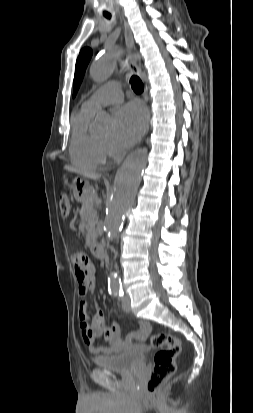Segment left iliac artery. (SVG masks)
Returning a JSON list of instances; mask_svg holds the SVG:
<instances>
[{
    "label": "left iliac artery",
    "mask_w": 253,
    "mask_h": 413,
    "mask_svg": "<svg viewBox=\"0 0 253 413\" xmlns=\"http://www.w3.org/2000/svg\"><path fill=\"white\" fill-rule=\"evenodd\" d=\"M122 296H123V292L120 291L119 294H118V297L121 298Z\"/></svg>",
    "instance_id": "left-iliac-artery-1"
}]
</instances>
